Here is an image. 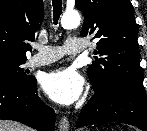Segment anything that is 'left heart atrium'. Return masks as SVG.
Wrapping results in <instances>:
<instances>
[{"instance_id":"obj_1","label":"left heart atrium","mask_w":147,"mask_h":131,"mask_svg":"<svg viewBox=\"0 0 147 131\" xmlns=\"http://www.w3.org/2000/svg\"><path fill=\"white\" fill-rule=\"evenodd\" d=\"M84 86L83 77L71 67L54 70L43 81L45 93L54 101L64 105L78 101L84 92Z\"/></svg>"}]
</instances>
